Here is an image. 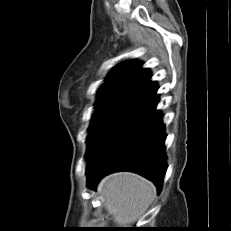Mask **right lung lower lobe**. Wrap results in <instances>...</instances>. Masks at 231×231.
<instances>
[{"instance_id": "obj_1", "label": "right lung lower lobe", "mask_w": 231, "mask_h": 231, "mask_svg": "<svg viewBox=\"0 0 231 231\" xmlns=\"http://www.w3.org/2000/svg\"><path fill=\"white\" fill-rule=\"evenodd\" d=\"M151 106L110 138L87 162V185L115 171H131L151 180L160 192L167 169L163 116Z\"/></svg>"}]
</instances>
